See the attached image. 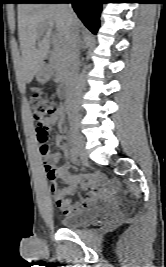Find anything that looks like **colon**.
<instances>
[{
  "label": "colon",
  "instance_id": "obj_1",
  "mask_svg": "<svg viewBox=\"0 0 166 267\" xmlns=\"http://www.w3.org/2000/svg\"><path fill=\"white\" fill-rule=\"evenodd\" d=\"M30 103L33 110V116L36 121V135L43 155L48 154L46 145L48 128L46 120L53 116L57 111L56 102L53 99L45 98L40 93H33L30 97ZM45 171L49 179H55L58 176L57 168L49 161L45 162Z\"/></svg>",
  "mask_w": 166,
  "mask_h": 267
}]
</instances>
